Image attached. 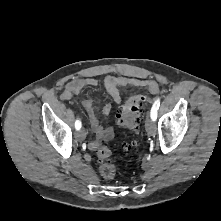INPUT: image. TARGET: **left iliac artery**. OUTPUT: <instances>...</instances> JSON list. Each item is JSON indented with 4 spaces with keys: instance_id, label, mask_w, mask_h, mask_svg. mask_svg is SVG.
<instances>
[{
    "instance_id": "left-iliac-artery-1",
    "label": "left iliac artery",
    "mask_w": 221,
    "mask_h": 221,
    "mask_svg": "<svg viewBox=\"0 0 221 221\" xmlns=\"http://www.w3.org/2000/svg\"><path fill=\"white\" fill-rule=\"evenodd\" d=\"M159 106H160V98H157L150 111V117L153 121L157 119V111L159 109Z\"/></svg>"
}]
</instances>
